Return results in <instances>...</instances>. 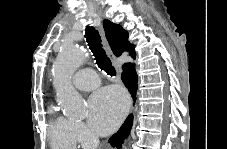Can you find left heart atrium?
<instances>
[{
    "mask_svg": "<svg viewBox=\"0 0 227 149\" xmlns=\"http://www.w3.org/2000/svg\"><path fill=\"white\" fill-rule=\"evenodd\" d=\"M127 104L125 94L116 87L98 90L89 100L90 127L101 135L110 133L124 117Z\"/></svg>",
    "mask_w": 227,
    "mask_h": 149,
    "instance_id": "left-heart-atrium-1",
    "label": "left heart atrium"
}]
</instances>
